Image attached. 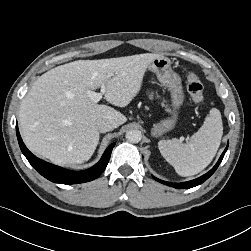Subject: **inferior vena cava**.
<instances>
[{
  "label": "inferior vena cava",
  "instance_id": "1",
  "mask_svg": "<svg viewBox=\"0 0 251 251\" xmlns=\"http://www.w3.org/2000/svg\"><path fill=\"white\" fill-rule=\"evenodd\" d=\"M97 128H98L99 132L105 133V132L113 130L115 128V126L109 120L99 119L97 121Z\"/></svg>",
  "mask_w": 251,
  "mask_h": 251
}]
</instances>
